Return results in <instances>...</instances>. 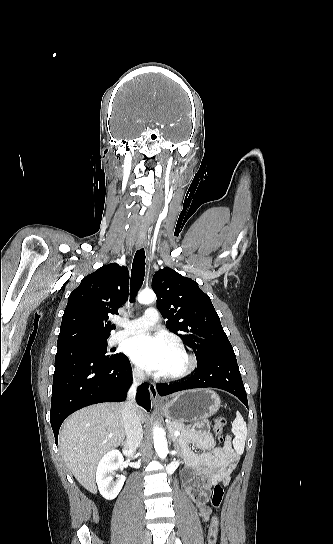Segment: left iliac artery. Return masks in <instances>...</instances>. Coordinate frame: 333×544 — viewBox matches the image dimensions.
<instances>
[{
	"label": "left iliac artery",
	"mask_w": 333,
	"mask_h": 544,
	"mask_svg": "<svg viewBox=\"0 0 333 544\" xmlns=\"http://www.w3.org/2000/svg\"><path fill=\"white\" fill-rule=\"evenodd\" d=\"M176 544H182L179 538L176 539Z\"/></svg>",
	"instance_id": "1"
}]
</instances>
